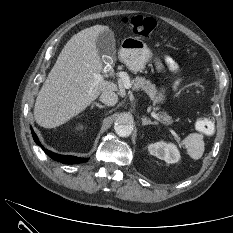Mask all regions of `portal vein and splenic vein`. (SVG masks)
<instances>
[{
  "instance_id": "obj_1",
  "label": "portal vein and splenic vein",
  "mask_w": 233,
  "mask_h": 233,
  "mask_svg": "<svg viewBox=\"0 0 233 233\" xmlns=\"http://www.w3.org/2000/svg\"><path fill=\"white\" fill-rule=\"evenodd\" d=\"M94 77H95V79H96V83H99V82H101V81L104 80L103 76L100 75V74H94ZM116 77L120 80V84H121L124 88L128 89V88L131 86L129 76L127 75L126 72H118V73L116 74ZM151 115H152V117L155 118L156 120L162 122V119L160 118V116H159L158 114H156L155 112H152ZM163 123H165V122H163ZM169 131H170L173 135H176V133H175L172 129L169 128Z\"/></svg>"
}]
</instances>
